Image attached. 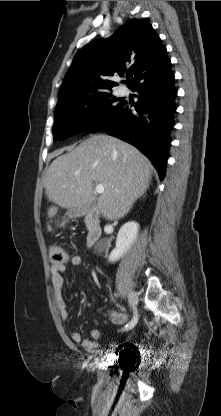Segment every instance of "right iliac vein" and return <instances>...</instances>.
I'll use <instances>...</instances> for the list:
<instances>
[{
    "label": "right iliac vein",
    "instance_id": "right-iliac-vein-1",
    "mask_svg": "<svg viewBox=\"0 0 221 416\" xmlns=\"http://www.w3.org/2000/svg\"><path fill=\"white\" fill-rule=\"evenodd\" d=\"M129 302H130V306L132 307V309L135 310L138 304V295L135 292H132L129 295Z\"/></svg>",
    "mask_w": 221,
    "mask_h": 416
}]
</instances>
